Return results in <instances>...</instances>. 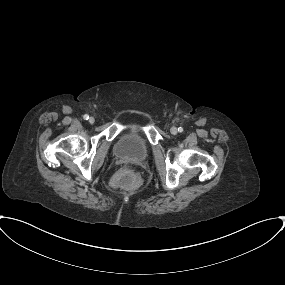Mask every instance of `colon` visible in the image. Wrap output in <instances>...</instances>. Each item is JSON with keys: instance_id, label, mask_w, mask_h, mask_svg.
Wrapping results in <instances>:
<instances>
[{"instance_id": "obj_1", "label": "colon", "mask_w": 285, "mask_h": 285, "mask_svg": "<svg viewBox=\"0 0 285 285\" xmlns=\"http://www.w3.org/2000/svg\"><path fill=\"white\" fill-rule=\"evenodd\" d=\"M138 177L133 166L127 165L117 171L113 178V183L116 186L123 188H132L137 183Z\"/></svg>"}]
</instances>
